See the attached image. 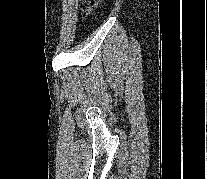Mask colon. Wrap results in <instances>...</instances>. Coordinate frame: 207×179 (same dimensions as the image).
Listing matches in <instances>:
<instances>
[{"mask_svg":"<svg viewBox=\"0 0 207 179\" xmlns=\"http://www.w3.org/2000/svg\"><path fill=\"white\" fill-rule=\"evenodd\" d=\"M100 0H91V6H95ZM90 12V10L88 11V13Z\"/></svg>","mask_w":207,"mask_h":179,"instance_id":"colon-1","label":"colon"}]
</instances>
